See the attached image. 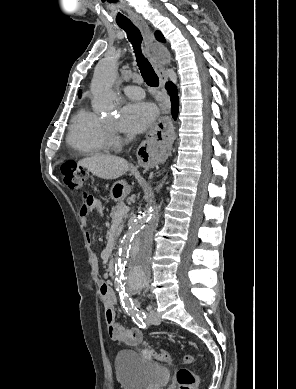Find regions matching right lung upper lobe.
Returning a JSON list of instances; mask_svg holds the SVG:
<instances>
[{
    "mask_svg": "<svg viewBox=\"0 0 296 389\" xmlns=\"http://www.w3.org/2000/svg\"><path fill=\"white\" fill-rule=\"evenodd\" d=\"M155 37H156V39H157L158 41H160V42H165V39H164L163 35L161 34V32L156 31V32H155Z\"/></svg>",
    "mask_w": 296,
    "mask_h": 389,
    "instance_id": "cb5924a9",
    "label": "right lung upper lobe"
}]
</instances>
